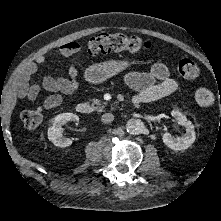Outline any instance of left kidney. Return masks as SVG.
I'll return each mask as SVG.
<instances>
[{"label":"left kidney","instance_id":"obj_1","mask_svg":"<svg viewBox=\"0 0 221 221\" xmlns=\"http://www.w3.org/2000/svg\"><path fill=\"white\" fill-rule=\"evenodd\" d=\"M171 115L179 125L186 127V133L182 137H174L170 133H164L162 138L163 142L172 150H185L189 148L196 139L194 125L178 110H173Z\"/></svg>","mask_w":221,"mask_h":221}]
</instances>
